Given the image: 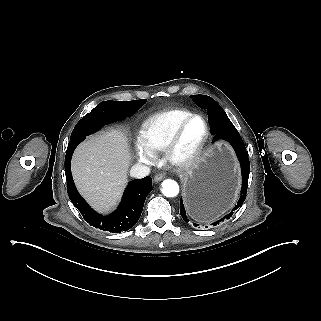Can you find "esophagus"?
I'll list each match as a JSON object with an SVG mask.
<instances>
[{
	"label": "esophagus",
	"instance_id": "esophagus-1",
	"mask_svg": "<svg viewBox=\"0 0 321 321\" xmlns=\"http://www.w3.org/2000/svg\"><path fill=\"white\" fill-rule=\"evenodd\" d=\"M164 179V176L162 174H158L154 177V181L158 182Z\"/></svg>",
	"mask_w": 321,
	"mask_h": 321
}]
</instances>
